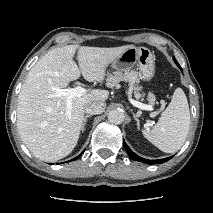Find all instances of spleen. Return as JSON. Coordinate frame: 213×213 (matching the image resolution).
Wrapping results in <instances>:
<instances>
[{
	"label": "spleen",
	"instance_id": "obj_1",
	"mask_svg": "<svg viewBox=\"0 0 213 213\" xmlns=\"http://www.w3.org/2000/svg\"><path fill=\"white\" fill-rule=\"evenodd\" d=\"M189 126L188 101L184 91L177 88L158 123L151 130H143V135L161 151L173 153L184 144Z\"/></svg>",
	"mask_w": 213,
	"mask_h": 213
}]
</instances>
